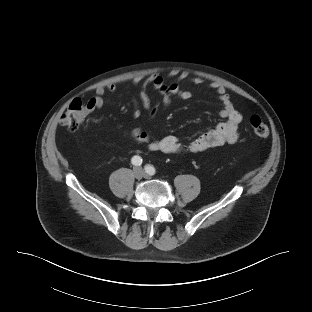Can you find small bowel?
Here are the masks:
<instances>
[{
    "instance_id": "obj_1",
    "label": "small bowel",
    "mask_w": 312,
    "mask_h": 312,
    "mask_svg": "<svg viewBox=\"0 0 312 312\" xmlns=\"http://www.w3.org/2000/svg\"><path fill=\"white\" fill-rule=\"evenodd\" d=\"M188 79V73L182 72L178 75L176 82H167L161 76H151L148 78L137 77L134 82L140 84L139 99L148 114L149 120H152L157 112L158 103H152L148 95L149 86L157 90L162 96V104H169L171 97L176 96L183 100H189L192 97L191 91L182 88L178 81ZM192 83L199 84L200 78L191 79ZM209 88L213 90L219 102L222 105L220 116L225 120L220 122L210 131L196 137L187 144L182 143L175 136H166L160 139H153L146 128H135L131 130V137L140 144H146L149 151L163 152L172 154L196 153L205 149L216 147L224 144H232L239 139V125L242 121L241 114L234 108L229 94L226 89L219 84H210ZM116 86L108 84L107 86L98 87L96 93L88 101L90 111L100 109L104 105L103 96L106 92H115ZM134 116L141 115L138 102L134 100Z\"/></svg>"
}]
</instances>
